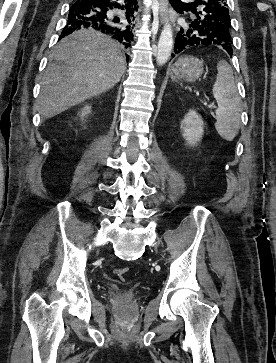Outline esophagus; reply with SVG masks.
<instances>
[{"mask_svg":"<svg viewBox=\"0 0 276 363\" xmlns=\"http://www.w3.org/2000/svg\"><path fill=\"white\" fill-rule=\"evenodd\" d=\"M159 13L161 22L167 21L168 18V0H158Z\"/></svg>","mask_w":276,"mask_h":363,"instance_id":"34e87169","label":"esophagus"}]
</instances>
